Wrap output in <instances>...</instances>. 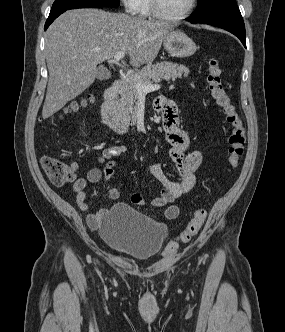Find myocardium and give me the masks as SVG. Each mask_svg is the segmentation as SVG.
Segmentation results:
<instances>
[{"mask_svg":"<svg viewBox=\"0 0 285 332\" xmlns=\"http://www.w3.org/2000/svg\"><path fill=\"white\" fill-rule=\"evenodd\" d=\"M196 5H197V0H191L190 5L182 14L178 16H170L163 11L160 0H151V8L153 16L156 17L157 19L166 22H178L186 19L193 12Z\"/></svg>","mask_w":285,"mask_h":332,"instance_id":"obj_1","label":"myocardium"}]
</instances>
